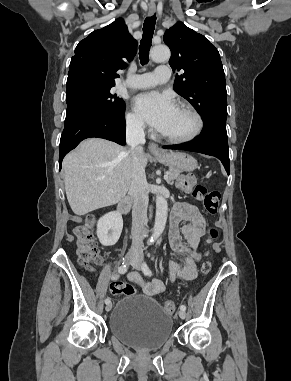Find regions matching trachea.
Returning a JSON list of instances; mask_svg holds the SVG:
<instances>
[{"mask_svg":"<svg viewBox=\"0 0 291 381\" xmlns=\"http://www.w3.org/2000/svg\"><path fill=\"white\" fill-rule=\"evenodd\" d=\"M155 23L156 14L151 17H147L143 24V36L139 46V59L142 65H146L149 62V50L151 47Z\"/></svg>","mask_w":291,"mask_h":381,"instance_id":"3493384b","label":"trachea"}]
</instances>
